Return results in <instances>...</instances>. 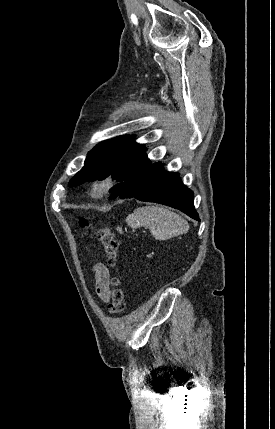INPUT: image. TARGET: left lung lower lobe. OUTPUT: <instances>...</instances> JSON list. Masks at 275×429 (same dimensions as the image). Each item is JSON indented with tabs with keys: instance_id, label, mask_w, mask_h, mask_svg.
<instances>
[{
	"instance_id": "0a47b994",
	"label": "left lung lower lobe",
	"mask_w": 275,
	"mask_h": 429,
	"mask_svg": "<svg viewBox=\"0 0 275 429\" xmlns=\"http://www.w3.org/2000/svg\"><path fill=\"white\" fill-rule=\"evenodd\" d=\"M115 197L136 198L141 201L156 202L185 212L199 220L193 205V192L180 180L178 173L169 172L161 162L151 165L121 194L120 186L113 189Z\"/></svg>"
}]
</instances>
